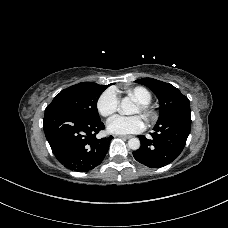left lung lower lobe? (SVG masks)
Segmentation results:
<instances>
[{"label": "left lung lower lobe", "mask_w": 228, "mask_h": 228, "mask_svg": "<svg viewBox=\"0 0 228 228\" xmlns=\"http://www.w3.org/2000/svg\"><path fill=\"white\" fill-rule=\"evenodd\" d=\"M181 125H176L174 117L156 124L152 139L138 136L141 146L133 152L134 158L150 168H160L174 161L182 152L191 128V111L182 110L179 114Z\"/></svg>", "instance_id": "0a47b994"}]
</instances>
